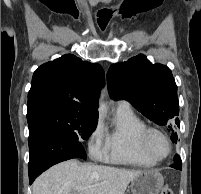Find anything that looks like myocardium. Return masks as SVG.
Returning <instances> with one entry per match:
<instances>
[{"mask_svg": "<svg viewBox=\"0 0 201 194\" xmlns=\"http://www.w3.org/2000/svg\"><path fill=\"white\" fill-rule=\"evenodd\" d=\"M152 133H157L160 136H162L164 138V140L167 143V153L163 156V157H154L148 150V138L150 136V134ZM139 144H140V148L142 150V152L152 161L154 162H160L165 160L167 157H169V155L172 152V143L171 140L169 138V136L160 128L158 127H154V126H145L143 128V130L140 133V137H139Z\"/></svg>", "mask_w": 201, "mask_h": 194, "instance_id": "obj_1", "label": "myocardium"}]
</instances>
